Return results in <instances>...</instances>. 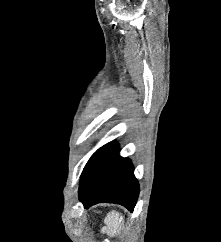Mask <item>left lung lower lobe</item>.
<instances>
[{
	"mask_svg": "<svg viewBox=\"0 0 221 242\" xmlns=\"http://www.w3.org/2000/svg\"><path fill=\"white\" fill-rule=\"evenodd\" d=\"M138 194L139 184L133 166L127 158L120 157L116 142L99 148L84 167L79 197L85 208L109 202L133 211Z\"/></svg>",
	"mask_w": 221,
	"mask_h": 242,
	"instance_id": "left-lung-lower-lobe-1",
	"label": "left lung lower lobe"
}]
</instances>
